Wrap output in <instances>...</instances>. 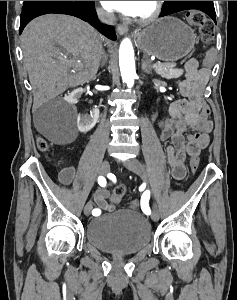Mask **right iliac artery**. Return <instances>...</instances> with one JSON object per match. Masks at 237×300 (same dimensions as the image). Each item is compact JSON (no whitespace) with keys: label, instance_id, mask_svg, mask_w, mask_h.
<instances>
[{"label":"right iliac artery","instance_id":"1","mask_svg":"<svg viewBox=\"0 0 237 300\" xmlns=\"http://www.w3.org/2000/svg\"><path fill=\"white\" fill-rule=\"evenodd\" d=\"M98 184L101 186V187H105L106 186V179L103 177V176H99L98 177ZM99 209H94L93 211L95 212H98ZM92 211V212H93Z\"/></svg>","mask_w":237,"mask_h":300}]
</instances>
